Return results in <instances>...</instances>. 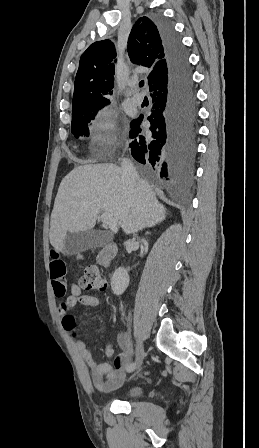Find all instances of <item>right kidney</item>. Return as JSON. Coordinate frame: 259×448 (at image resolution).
<instances>
[{
  "label": "right kidney",
  "instance_id": "ca27d5eb",
  "mask_svg": "<svg viewBox=\"0 0 259 448\" xmlns=\"http://www.w3.org/2000/svg\"><path fill=\"white\" fill-rule=\"evenodd\" d=\"M129 282L130 278L127 270H124V268H118V270H115L111 278V290H113L116 296H120V294H123L126 288H128Z\"/></svg>",
  "mask_w": 259,
  "mask_h": 448
}]
</instances>
